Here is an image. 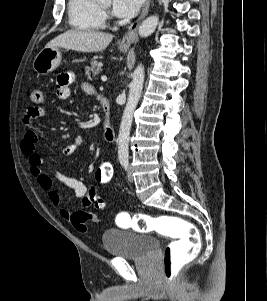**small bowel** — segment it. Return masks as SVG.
<instances>
[{
  "mask_svg": "<svg viewBox=\"0 0 267 301\" xmlns=\"http://www.w3.org/2000/svg\"><path fill=\"white\" fill-rule=\"evenodd\" d=\"M74 81V74L70 71L62 72L56 79V95L59 99H67L71 94L70 85ZM82 90L88 94H93L95 89L88 83H82ZM45 116V110L40 107H31L24 116L23 122L26 126L25 134L20 143L22 154L27 157L29 163V170L33 177L36 178L38 185L42 190L48 194L50 202L54 205L60 203V196L54 188L53 179L42 170V159L36 152V145L38 142L37 133L30 127V122ZM83 143L81 136L76 137L71 143L61 148V153L65 156H71L75 153L77 148ZM56 178L65 186L72 189L74 196L77 199L83 200V206L90 203L87 200V188L85 184L75 178L64 174H56ZM60 215L64 219L69 220L75 229L80 232L87 231V224L89 221H99L100 216L96 213H88L81 209L71 211L66 208L60 209Z\"/></svg>",
  "mask_w": 267,
  "mask_h": 301,
  "instance_id": "obj_1",
  "label": "small bowel"
}]
</instances>
